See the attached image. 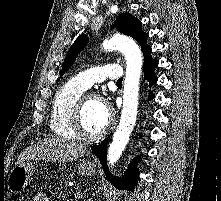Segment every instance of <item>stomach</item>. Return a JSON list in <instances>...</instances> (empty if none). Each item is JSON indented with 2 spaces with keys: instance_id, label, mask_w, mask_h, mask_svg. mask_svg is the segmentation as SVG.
I'll return each instance as SVG.
<instances>
[{
  "instance_id": "obj_1",
  "label": "stomach",
  "mask_w": 221,
  "mask_h": 201,
  "mask_svg": "<svg viewBox=\"0 0 221 201\" xmlns=\"http://www.w3.org/2000/svg\"><path fill=\"white\" fill-rule=\"evenodd\" d=\"M35 165L29 160L16 163L10 171L7 186L11 192L18 193L25 188L34 178ZM95 165L89 160H83L78 166L80 174L89 176L95 173Z\"/></svg>"
}]
</instances>
